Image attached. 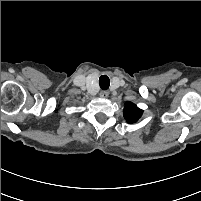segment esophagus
Wrapping results in <instances>:
<instances>
[{"mask_svg":"<svg viewBox=\"0 0 201 201\" xmlns=\"http://www.w3.org/2000/svg\"><path fill=\"white\" fill-rule=\"evenodd\" d=\"M99 95L101 98H107L109 95V92L108 91H101Z\"/></svg>","mask_w":201,"mask_h":201,"instance_id":"1","label":"esophagus"}]
</instances>
